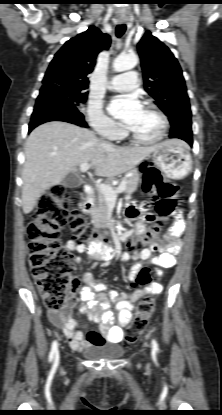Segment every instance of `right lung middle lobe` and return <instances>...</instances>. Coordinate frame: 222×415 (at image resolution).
I'll return each instance as SVG.
<instances>
[{
  "label": "right lung middle lobe",
  "instance_id": "dd1d6c3e",
  "mask_svg": "<svg viewBox=\"0 0 222 415\" xmlns=\"http://www.w3.org/2000/svg\"><path fill=\"white\" fill-rule=\"evenodd\" d=\"M57 90L66 96L75 106L84 104L87 100V93L81 90L70 87H57Z\"/></svg>",
  "mask_w": 222,
  "mask_h": 415
}]
</instances>
